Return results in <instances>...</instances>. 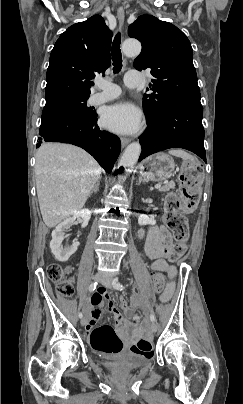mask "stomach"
Wrapping results in <instances>:
<instances>
[{
  "instance_id": "0dacf381",
  "label": "stomach",
  "mask_w": 243,
  "mask_h": 404,
  "mask_svg": "<svg viewBox=\"0 0 243 404\" xmlns=\"http://www.w3.org/2000/svg\"><path fill=\"white\" fill-rule=\"evenodd\" d=\"M139 169L145 180L164 181L174 176L175 163L171 156L157 153L146 158Z\"/></svg>"
}]
</instances>
